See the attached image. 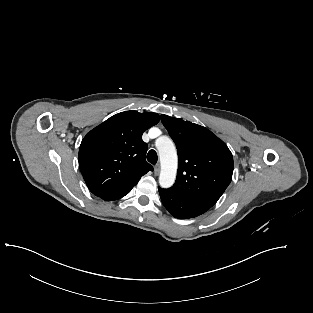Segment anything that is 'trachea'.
<instances>
[{
  "label": "trachea",
  "mask_w": 313,
  "mask_h": 313,
  "mask_svg": "<svg viewBox=\"0 0 313 313\" xmlns=\"http://www.w3.org/2000/svg\"><path fill=\"white\" fill-rule=\"evenodd\" d=\"M147 160L155 165L157 163V160H158V156H157V153L155 150H150L147 154Z\"/></svg>",
  "instance_id": "obj_1"
}]
</instances>
